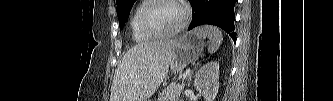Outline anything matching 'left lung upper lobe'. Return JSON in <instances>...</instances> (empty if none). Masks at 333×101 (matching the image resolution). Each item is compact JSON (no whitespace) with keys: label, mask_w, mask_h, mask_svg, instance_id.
Returning <instances> with one entry per match:
<instances>
[{"label":"left lung upper lobe","mask_w":333,"mask_h":101,"mask_svg":"<svg viewBox=\"0 0 333 101\" xmlns=\"http://www.w3.org/2000/svg\"><path fill=\"white\" fill-rule=\"evenodd\" d=\"M135 1L136 0H116L117 15L121 29L123 28L124 23L126 22L129 12Z\"/></svg>","instance_id":"1"}]
</instances>
